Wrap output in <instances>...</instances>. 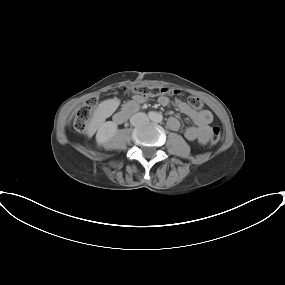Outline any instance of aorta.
<instances>
[{
	"label": "aorta",
	"instance_id": "obj_1",
	"mask_svg": "<svg viewBox=\"0 0 285 285\" xmlns=\"http://www.w3.org/2000/svg\"><path fill=\"white\" fill-rule=\"evenodd\" d=\"M152 120H153L154 122L159 123V122H161V121L163 120V116H162L160 113H154V114L152 115Z\"/></svg>",
	"mask_w": 285,
	"mask_h": 285
}]
</instances>
